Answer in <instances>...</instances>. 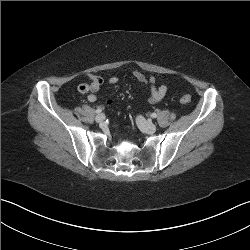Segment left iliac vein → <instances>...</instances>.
I'll return each mask as SVG.
<instances>
[{
    "label": "left iliac vein",
    "mask_w": 250,
    "mask_h": 250,
    "mask_svg": "<svg viewBox=\"0 0 250 250\" xmlns=\"http://www.w3.org/2000/svg\"><path fill=\"white\" fill-rule=\"evenodd\" d=\"M136 122L139 128L145 133L153 134L157 130V127L155 124L149 121H146L142 116H138L136 119Z\"/></svg>",
    "instance_id": "1"
}]
</instances>
